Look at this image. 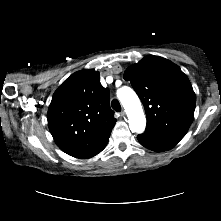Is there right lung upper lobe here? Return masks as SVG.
Masks as SVG:
<instances>
[{"label": "right lung upper lobe", "instance_id": "cb5924a9", "mask_svg": "<svg viewBox=\"0 0 221 221\" xmlns=\"http://www.w3.org/2000/svg\"><path fill=\"white\" fill-rule=\"evenodd\" d=\"M110 93L99 72L81 70L56 90L49 106V130L58 147L70 156L87 159L107 145L116 123Z\"/></svg>", "mask_w": 221, "mask_h": 221}]
</instances>
